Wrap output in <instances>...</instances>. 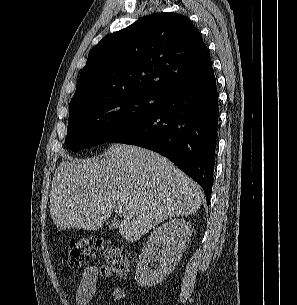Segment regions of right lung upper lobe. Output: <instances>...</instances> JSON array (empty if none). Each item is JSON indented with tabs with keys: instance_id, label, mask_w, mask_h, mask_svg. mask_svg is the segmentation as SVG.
Masks as SVG:
<instances>
[{
	"instance_id": "obj_1",
	"label": "right lung upper lobe",
	"mask_w": 297,
	"mask_h": 305,
	"mask_svg": "<svg viewBox=\"0 0 297 305\" xmlns=\"http://www.w3.org/2000/svg\"><path fill=\"white\" fill-rule=\"evenodd\" d=\"M201 35L181 14L146 16L103 38L80 73L69 111L126 92L157 94L213 74Z\"/></svg>"
}]
</instances>
